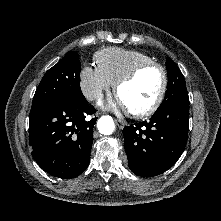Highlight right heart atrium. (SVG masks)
Returning a JSON list of instances; mask_svg holds the SVG:
<instances>
[{"instance_id": "d8ad5b80", "label": "right heart atrium", "mask_w": 221, "mask_h": 221, "mask_svg": "<svg viewBox=\"0 0 221 221\" xmlns=\"http://www.w3.org/2000/svg\"><path fill=\"white\" fill-rule=\"evenodd\" d=\"M113 84L100 72L97 67L86 65L80 73L79 88L82 95L89 101L98 98Z\"/></svg>"}]
</instances>
